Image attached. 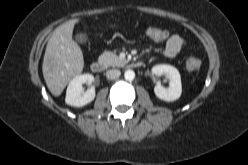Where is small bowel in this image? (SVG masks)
Here are the masks:
<instances>
[{"label": "small bowel", "mask_w": 248, "mask_h": 165, "mask_svg": "<svg viewBox=\"0 0 248 165\" xmlns=\"http://www.w3.org/2000/svg\"><path fill=\"white\" fill-rule=\"evenodd\" d=\"M184 45H185V41L183 40L182 37H180L179 35H171L166 40L164 47V55L167 58H175L180 54Z\"/></svg>", "instance_id": "obj_1"}]
</instances>
